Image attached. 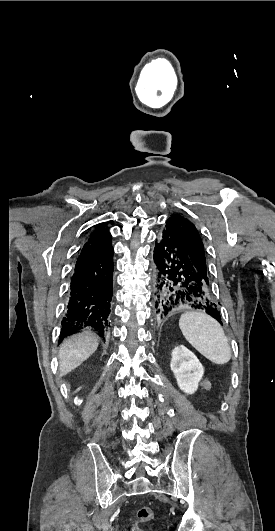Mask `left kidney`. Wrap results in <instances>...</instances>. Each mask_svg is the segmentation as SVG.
Returning a JSON list of instances; mask_svg holds the SVG:
<instances>
[{"instance_id":"left-kidney-1","label":"left kidney","mask_w":275,"mask_h":531,"mask_svg":"<svg viewBox=\"0 0 275 531\" xmlns=\"http://www.w3.org/2000/svg\"><path fill=\"white\" fill-rule=\"evenodd\" d=\"M170 367L181 391L187 395H193L204 375V369L196 355L184 345L175 347L172 351Z\"/></svg>"}]
</instances>
